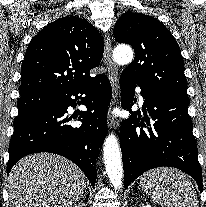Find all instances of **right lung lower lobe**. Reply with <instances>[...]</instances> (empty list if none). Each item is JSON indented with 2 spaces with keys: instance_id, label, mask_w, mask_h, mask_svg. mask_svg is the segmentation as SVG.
Instances as JSON below:
<instances>
[{
  "instance_id": "1",
  "label": "right lung lower lobe",
  "mask_w": 206,
  "mask_h": 207,
  "mask_svg": "<svg viewBox=\"0 0 206 207\" xmlns=\"http://www.w3.org/2000/svg\"><path fill=\"white\" fill-rule=\"evenodd\" d=\"M85 94V97L78 95ZM54 105L18 115L9 145L7 174L22 157L38 152L64 156L81 168L94 186L96 182V159L107 135V108L112 90L105 75L55 93ZM75 96V99L71 97ZM81 103L87 111L67 115L69 106ZM71 120L82 122L80 127L68 124Z\"/></svg>"
}]
</instances>
